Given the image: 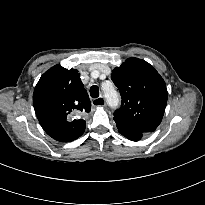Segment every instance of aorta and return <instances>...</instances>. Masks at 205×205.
<instances>
[{"mask_svg":"<svg viewBox=\"0 0 205 205\" xmlns=\"http://www.w3.org/2000/svg\"><path fill=\"white\" fill-rule=\"evenodd\" d=\"M104 96L110 107L114 108L118 106L120 102V96L114 87H111L109 90H105Z\"/></svg>","mask_w":205,"mask_h":205,"instance_id":"aorta-1","label":"aorta"}]
</instances>
